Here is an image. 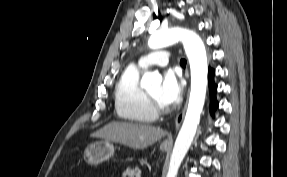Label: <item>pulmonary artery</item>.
Listing matches in <instances>:
<instances>
[{"mask_svg":"<svg viewBox=\"0 0 287 177\" xmlns=\"http://www.w3.org/2000/svg\"><path fill=\"white\" fill-rule=\"evenodd\" d=\"M170 59V52L167 49L153 51L150 55L139 60V65L142 68H147L151 65L165 66Z\"/></svg>","mask_w":287,"mask_h":177,"instance_id":"pulmonary-artery-1","label":"pulmonary artery"}]
</instances>
